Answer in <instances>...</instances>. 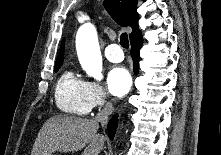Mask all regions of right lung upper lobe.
I'll return each instance as SVG.
<instances>
[{
    "mask_svg": "<svg viewBox=\"0 0 221 155\" xmlns=\"http://www.w3.org/2000/svg\"><path fill=\"white\" fill-rule=\"evenodd\" d=\"M104 6L118 24L121 26H130L133 29L130 39L140 32L138 28L139 16L136 11L137 0H105ZM63 46L64 42H62L55 66L62 64Z\"/></svg>",
    "mask_w": 221,
    "mask_h": 155,
    "instance_id": "1",
    "label": "right lung upper lobe"
}]
</instances>
